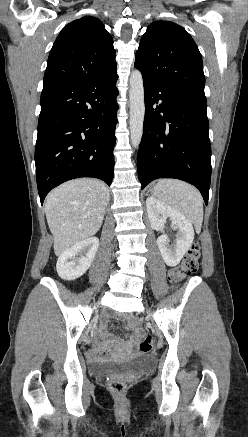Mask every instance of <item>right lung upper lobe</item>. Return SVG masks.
Segmentation results:
<instances>
[{
    "label": "right lung upper lobe",
    "instance_id": "1",
    "mask_svg": "<svg viewBox=\"0 0 248 437\" xmlns=\"http://www.w3.org/2000/svg\"><path fill=\"white\" fill-rule=\"evenodd\" d=\"M113 39L103 23L85 16L58 35L48 57L44 83L79 82L116 69Z\"/></svg>",
    "mask_w": 248,
    "mask_h": 437
}]
</instances>
